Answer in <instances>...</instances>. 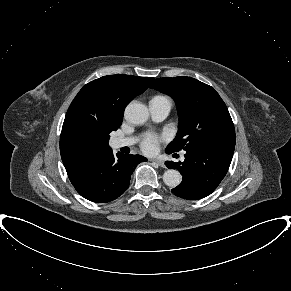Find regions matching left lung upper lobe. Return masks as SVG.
<instances>
[{
  "mask_svg": "<svg viewBox=\"0 0 291 291\" xmlns=\"http://www.w3.org/2000/svg\"><path fill=\"white\" fill-rule=\"evenodd\" d=\"M170 95L179 114V131L167 152L210 145H235V129L219 94L191 77L157 78L150 86Z\"/></svg>",
  "mask_w": 291,
  "mask_h": 291,
  "instance_id": "1",
  "label": "left lung upper lobe"
}]
</instances>
